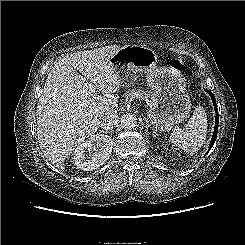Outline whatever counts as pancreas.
Listing matches in <instances>:
<instances>
[{
  "mask_svg": "<svg viewBox=\"0 0 245 245\" xmlns=\"http://www.w3.org/2000/svg\"><path fill=\"white\" fill-rule=\"evenodd\" d=\"M124 96L127 99L139 98V99H142V100L146 101L147 103L149 102V100H148L149 94L146 91H144L143 89L127 90L124 93Z\"/></svg>",
  "mask_w": 245,
  "mask_h": 245,
  "instance_id": "1",
  "label": "pancreas"
}]
</instances>
